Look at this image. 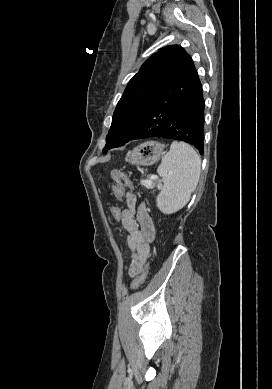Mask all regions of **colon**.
<instances>
[{
  "mask_svg": "<svg viewBox=\"0 0 272 389\" xmlns=\"http://www.w3.org/2000/svg\"><path fill=\"white\" fill-rule=\"evenodd\" d=\"M111 179L113 182L112 194L117 200H120L124 194L125 187H131V182L127 175L119 169H114L111 171ZM111 214L114 220L120 221L122 210L118 205H114L111 208ZM147 274L148 266H146L142 273L134 280L132 288L138 289L139 287H141L146 280Z\"/></svg>",
  "mask_w": 272,
  "mask_h": 389,
  "instance_id": "1",
  "label": "colon"
}]
</instances>
